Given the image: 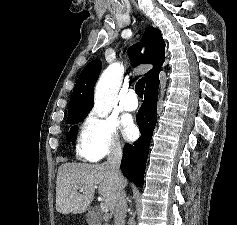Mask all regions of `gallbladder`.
Instances as JSON below:
<instances>
[{
  "label": "gallbladder",
  "mask_w": 237,
  "mask_h": 225,
  "mask_svg": "<svg viewBox=\"0 0 237 225\" xmlns=\"http://www.w3.org/2000/svg\"><path fill=\"white\" fill-rule=\"evenodd\" d=\"M87 222L89 225H101V219L100 217H97L95 220H93L90 216L87 217Z\"/></svg>",
  "instance_id": "obj_1"
}]
</instances>
